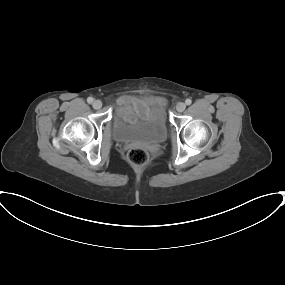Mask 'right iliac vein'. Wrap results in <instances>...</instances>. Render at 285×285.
Masks as SVG:
<instances>
[{"mask_svg":"<svg viewBox=\"0 0 285 285\" xmlns=\"http://www.w3.org/2000/svg\"><path fill=\"white\" fill-rule=\"evenodd\" d=\"M93 108L98 110L102 107V102L100 100H95L92 104Z\"/></svg>","mask_w":285,"mask_h":285,"instance_id":"1","label":"right iliac vein"}]
</instances>
